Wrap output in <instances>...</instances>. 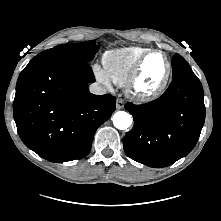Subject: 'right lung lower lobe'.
I'll return each mask as SVG.
<instances>
[{"instance_id":"1","label":"right lung lower lobe","mask_w":221,"mask_h":221,"mask_svg":"<svg viewBox=\"0 0 221 221\" xmlns=\"http://www.w3.org/2000/svg\"><path fill=\"white\" fill-rule=\"evenodd\" d=\"M94 81L87 62L32 59L18 78L13 103L24 144L51 162L85 157L95 131L116 109L112 95L89 93Z\"/></svg>"}]
</instances>
